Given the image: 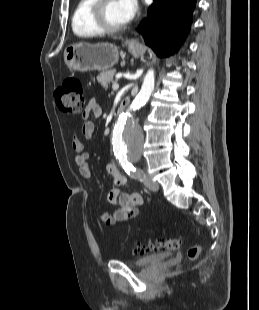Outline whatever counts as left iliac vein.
I'll return each mask as SVG.
<instances>
[{"instance_id": "left-iliac-vein-1", "label": "left iliac vein", "mask_w": 259, "mask_h": 310, "mask_svg": "<svg viewBox=\"0 0 259 310\" xmlns=\"http://www.w3.org/2000/svg\"><path fill=\"white\" fill-rule=\"evenodd\" d=\"M143 184L151 191L156 192L159 190V185L151 180V178L144 174L142 177Z\"/></svg>"}]
</instances>
